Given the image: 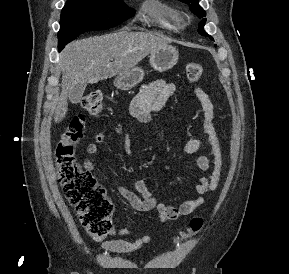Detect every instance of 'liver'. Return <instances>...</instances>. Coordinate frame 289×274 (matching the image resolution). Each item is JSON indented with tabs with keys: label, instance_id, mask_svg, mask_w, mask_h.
<instances>
[{
	"label": "liver",
	"instance_id": "obj_1",
	"mask_svg": "<svg viewBox=\"0 0 289 274\" xmlns=\"http://www.w3.org/2000/svg\"><path fill=\"white\" fill-rule=\"evenodd\" d=\"M167 43L166 39L152 34L123 30L68 44L60 55L62 91L54 111L55 123L65 118L68 98L76 85L97 83L127 73Z\"/></svg>",
	"mask_w": 289,
	"mask_h": 274
}]
</instances>
